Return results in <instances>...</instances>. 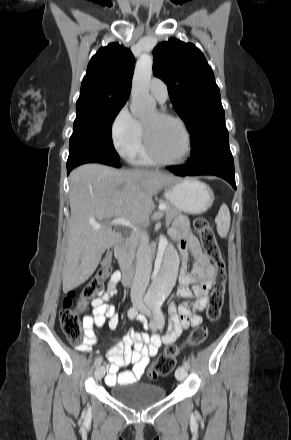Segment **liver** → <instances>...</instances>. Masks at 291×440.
Wrapping results in <instances>:
<instances>
[{
  "instance_id": "liver-1",
  "label": "liver",
  "mask_w": 291,
  "mask_h": 440,
  "mask_svg": "<svg viewBox=\"0 0 291 440\" xmlns=\"http://www.w3.org/2000/svg\"><path fill=\"white\" fill-rule=\"evenodd\" d=\"M177 179L157 171L116 170L101 164H85L72 171L63 291L87 281L105 250L120 239L121 233L107 226V221L122 217L132 224L145 222L154 209L153 196Z\"/></svg>"
}]
</instances>
